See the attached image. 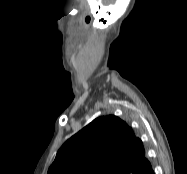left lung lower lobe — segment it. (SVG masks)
I'll return each mask as SVG.
<instances>
[{"label": "left lung lower lobe", "mask_w": 187, "mask_h": 174, "mask_svg": "<svg viewBox=\"0 0 187 174\" xmlns=\"http://www.w3.org/2000/svg\"><path fill=\"white\" fill-rule=\"evenodd\" d=\"M132 174H139V173H137V169H136ZM141 174H154V172L151 168V165L149 167H145Z\"/></svg>", "instance_id": "1"}]
</instances>
